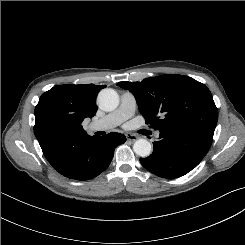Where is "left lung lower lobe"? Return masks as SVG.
Masks as SVG:
<instances>
[{"mask_svg": "<svg viewBox=\"0 0 245 245\" xmlns=\"http://www.w3.org/2000/svg\"><path fill=\"white\" fill-rule=\"evenodd\" d=\"M159 140L153 143V153L140 162L148 171L162 178H177L194 169L207 154L213 134L178 127L159 130Z\"/></svg>", "mask_w": 245, "mask_h": 245, "instance_id": "0a47b994", "label": "left lung lower lobe"}]
</instances>
